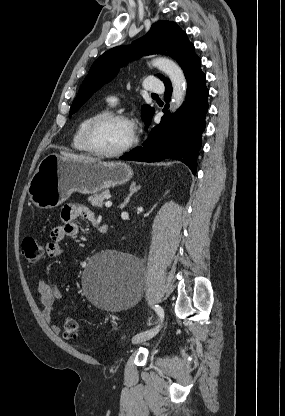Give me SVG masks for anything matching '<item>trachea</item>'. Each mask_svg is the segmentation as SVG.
Segmentation results:
<instances>
[{"label": "trachea", "instance_id": "1", "mask_svg": "<svg viewBox=\"0 0 285 416\" xmlns=\"http://www.w3.org/2000/svg\"><path fill=\"white\" fill-rule=\"evenodd\" d=\"M152 96H158V95H156V93H153Z\"/></svg>", "mask_w": 285, "mask_h": 416}]
</instances>
